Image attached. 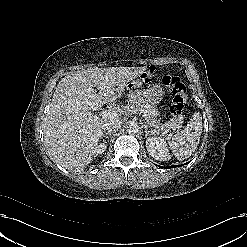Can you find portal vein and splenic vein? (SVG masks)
<instances>
[{
	"instance_id": "1",
	"label": "portal vein and splenic vein",
	"mask_w": 247,
	"mask_h": 247,
	"mask_svg": "<svg viewBox=\"0 0 247 247\" xmlns=\"http://www.w3.org/2000/svg\"><path fill=\"white\" fill-rule=\"evenodd\" d=\"M121 114H122L121 109H117V108H115V107H110L109 109H107V110H102V111L100 112V116H101V117H109V116H112V115L118 116V115H121ZM170 128H171L172 130H176V129L181 128V126H180L179 124H176V125H174V126L169 127L168 130H169ZM168 130H165L164 133H166Z\"/></svg>"
}]
</instances>
